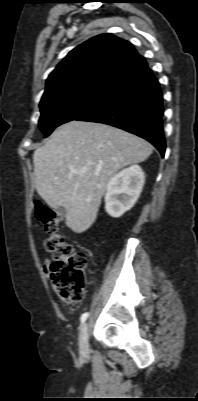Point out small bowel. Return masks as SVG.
Here are the masks:
<instances>
[{"instance_id":"small-bowel-1","label":"small bowel","mask_w":198,"mask_h":401,"mask_svg":"<svg viewBox=\"0 0 198 401\" xmlns=\"http://www.w3.org/2000/svg\"><path fill=\"white\" fill-rule=\"evenodd\" d=\"M50 265H51V261L49 259L45 260L44 265H43V269L45 272L49 271Z\"/></svg>"}]
</instances>
